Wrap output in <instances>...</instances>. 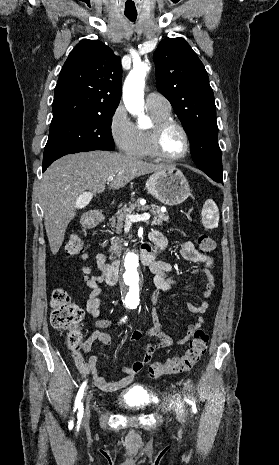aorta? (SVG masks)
Instances as JSON below:
<instances>
[{
	"mask_svg": "<svg viewBox=\"0 0 279 465\" xmlns=\"http://www.w3.org/2000/svg\"><path fill=\"white\" fill-rule=\"evenodd\" d=\"M149 67L140 63L129 72L123 85V101L126 109L141 119L144 111L145 77ZM122 284L125 300L128 303L139 301L141 277L139 274V257L135 252H128L122 268Z\"/></svg>",
	"mask_w": 279,
	"mask_h": 465,
	"instance_id": "1",
	"label": "aorta"
}]
</instances>
